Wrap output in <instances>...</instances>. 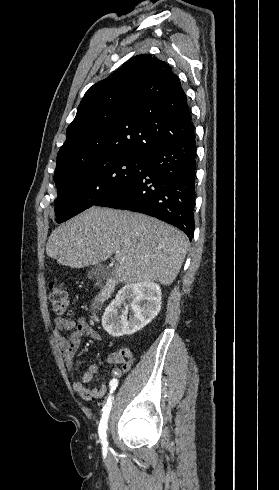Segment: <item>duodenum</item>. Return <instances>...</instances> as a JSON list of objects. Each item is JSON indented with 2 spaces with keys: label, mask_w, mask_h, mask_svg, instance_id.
I'll return each instance as SVG.
<instances>
[{
  "label": "duodenum",
  "mask_w": 279,
  "mask_h": 490,
  "mask_svg": "<svg viewBox=\"0 0 279 490\" xmlns=\"http://www.w3.org/2000/svg\"><path fill=\"white\" fill-rule=\"evenodd\" d=\"M116 283L113 279L107 280L105 284L102 286L100 289L98 295L96 296L94 300V307L98 308L102 303H104L106 300H108L114 289H115Z\"/></svg>",
  "instance_id": "obj_1"
}]
</instances>
